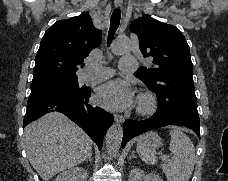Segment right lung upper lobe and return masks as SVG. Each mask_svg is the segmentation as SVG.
I'll list each match as a JSON object with an SVG mask.
<instances>
[{
	"label": "right lung upper lobe",
	"instance_id": "cb5924a9",
	"mask_svg": "<svg viewBox=\"0 0 228 181\" xmlns=\"http://www.w3.org/2000/svg\"><path fill=\"white\" fill-rule=\"evenodd\" d=\"M102 33L88 13L57 21L44 34L35 58L33 80L76 76L90 51L101 43Z\"/></svg>",
	"mask_w": 228,
	"mask_h": 181
}]
</instances>
